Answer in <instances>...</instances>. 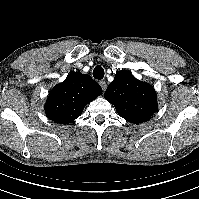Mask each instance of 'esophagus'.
<instances>
[{
	"mask_svg": "<svg viewBox=\"0 0 199 199\" xmlns=\"http://www.w3.org/2000/svg\"><path fill=\"white\" fill-rule=\"evenodd\" d=\"M100 86L102 87V90L105 91L107 88V83L104 80L99 81Z\"/></svg>",
	"mask_w": 199,
	"mask_h": 199,
	"instance_id": "1",
	"label": "esophagus"
}]
</instances>
